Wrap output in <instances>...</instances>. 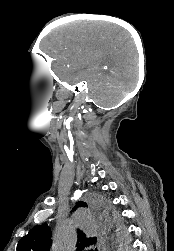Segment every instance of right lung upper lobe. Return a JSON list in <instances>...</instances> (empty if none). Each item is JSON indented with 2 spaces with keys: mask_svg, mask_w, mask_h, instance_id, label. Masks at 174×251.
<instances>
[{
  "mask_svg": "<svg viewBox=\"0 0 174 251\" xmlns=\"http://www.w3.org/2000/svg\"><path fill=\"white\" fill-rule=\"evenodd\" d=\"M78 206H87L86 203L80 201ZM76 207L73 209L75 210ZM51 232L47 225H38L33 227L29 233L20 239L17 245V251H49ZM96 242V238H86L82 232L78 233L77 251L83 250L85 247ZM97 251V249H95Z\"/></svg>",
  "mask_w": 174,
  "mask_h": 251,
  "instance_id": "right-lung-upper-lobe-1",
  "label": "right lung upper lobe"
}]
</instances>
